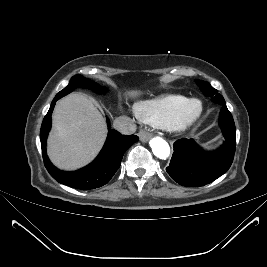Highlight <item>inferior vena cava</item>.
Segmentation results:
<instances>
[{
    "mask_svg": "<svg viewBox=\"0 0 267 267\" xmlns=\"http://www.w3.org/2000/svg\"><path fill=\"white\" fill-rule=\"evenodd\" d=\"M113 127L124 135H130L136 131V124L126 116L116 118L113 122Z\"/></svg>",
    "mask_w": 267,
    "mask_h": 267,
    "instance_id": "inferior-vena-cava-1",
    "label": "inferior vena cava"
}]
</instances>
